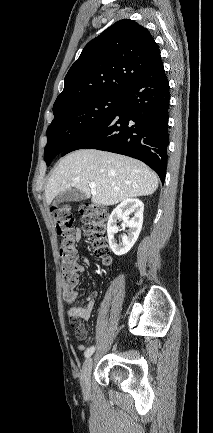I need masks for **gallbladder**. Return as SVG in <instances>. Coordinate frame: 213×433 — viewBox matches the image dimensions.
I'll list each match as a JSON object with an SVG mask.
<instances>
[{"label":"gallbladder","instance_id":"bac80fb5","mask_svg":"<svg viewBox=\"0 0 213 433\" xmlns=\"http://www.w3.org/2000/svg\"><path fill=\"white\" fill-rule=\"evenodd\" d=\"M84 198L85 194L83 192L77 189H67L56 196L53 204L56 206L62 202H76Z\"/></svg>","mask_w":213,"mask_h":433}]
</instances>
